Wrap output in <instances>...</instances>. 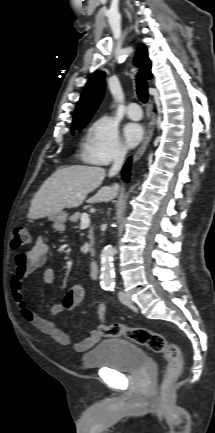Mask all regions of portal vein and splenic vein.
Listing matches in <instances>:
<instances>
[{
  "instance_id": "portal-vein-and-splenic-vein-1",
  "label": "portal vein and splenic vein",
  "mask_w": 215,
  "mask_h": 433,
  "mask_svg": "<svg viewBox=\"0 0 215 433\" xmlns=\"http://www.w3.org/2000/svg\"><path fill=\"white\" fill-rule=\"evenodd\" d=\"M90 225V219L89 216L87 214H83L81 217V226L82 227H87Z\"/></svg>"
}]
</instances>
